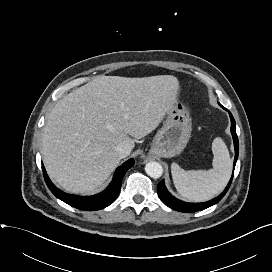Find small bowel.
<instances>
[{"instance_id": "c3829d8e", "label": "small bowel", "mask_w": 272, "mask_h": 272, "mask_svg": "<svg viewBox=\"0 0 272 272\" xmlns=\"http://www.w3.org/2000/svg\"><path fill=\"white\" fill-rule=\"evenodd\" d=\"M186 83L190 84L191 86H197V83L195 81L192 80H185Z\"/></svg>"}]
</instances>
